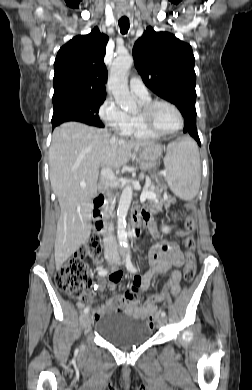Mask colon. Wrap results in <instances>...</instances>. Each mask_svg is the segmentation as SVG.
Wrapping results in <instances>:
<instances>
[{
	"label": "colon",
	"instance_id": "obj_1",
	"mask_svg": "<svg viewBox=\"0 0 252 390\" xmlns=\"http://www.w3.org/2000/svg\"><path fill=\"white\" fill-rule=\"evenodd\" d=\"M195 223V218L192 215H189L184 221L183 245L187 251L184 279L187 282H191L196 273V259L193 254L196 244L192 234ZM101 251V237L99 234L93 233L87 241L75 251V254L71 259L57 268L55 276L57 286L70 297H82L83 292L91 285L85 260L87 258L98 257L101 254ZM161 297L162 294L152 295L148 298V302H156ZM96 314L97 313L94 312V315ZM147 321L150 326H152L154 322L153 316H149Z\"/></svg>",
	"mask_w": 252,
	"mask_h": 390
}]
</instances>
